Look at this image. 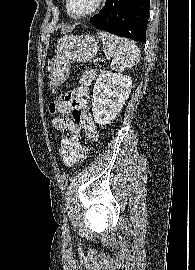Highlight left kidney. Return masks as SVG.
Listing matches in <instances>:
<instances>
[{"mask_svg": "<svg viewBox=\"0 0 195 270\" xmlns=\"http://www.w3.org/2000/svg\"><path fill=\"white\" fill-rule=\"evenodd\" d=\"M129 76L102 71L93 88L92 112L95 122L105 125L121 111L131 92Z\"/></svg>", "mask_w": 195, "mask_h": 270, "instance_id": "obj_1", "label": "left kidney"}]
</instances>
